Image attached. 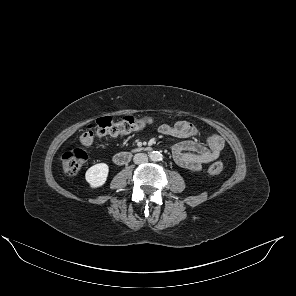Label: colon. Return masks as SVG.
<instances>
[{"label": "colon", "mask_w": 296, "mask_h": 296, "mask_svg": "<svg viewBox=\"0 0 296 296\" xmlns=\"http://www.w3.org/2000/svg\"><path fill=\"white\" fill-rule=\"evenodd\" d=\"M151 122L152 118L149 116L135 117L128 115L119 120H114L111 117H102L87 127L80 136V141L85 145H89L97 138L138 130L149 125ZM86 162L87 154L80 148L67 150L62 155V169L68 176L76 175L84 167ZM222 171L223 164L221 162L213 163L208 168V173L213 176L220 175Z\"/></svg>", "instance_id": "obj_1"}]
</instances>
